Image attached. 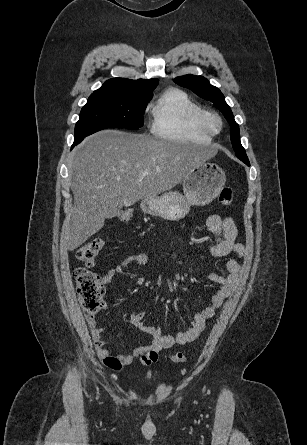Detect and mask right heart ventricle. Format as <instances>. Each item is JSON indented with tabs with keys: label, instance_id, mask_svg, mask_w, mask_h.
I'll list each match as a JSON object with an SVG mask.
<instances>
[{
	"label": "right heart ventricle",
	"instance_id": "e07e8e85",
	"mask_svg": "<svg viewBox=\"0 0 307 445\" xmlns=\"http://www.w3.org/2000/svg\"><path fill=\"white\" fill-rule=\"evenodd\" d=\"M154 105L151 132L163 139L209 140L204 111L186 94L168 90L150 102Z\"/></svg>",
	"mask_w": 307,
	"mask_h": 445
}]
</instances>
